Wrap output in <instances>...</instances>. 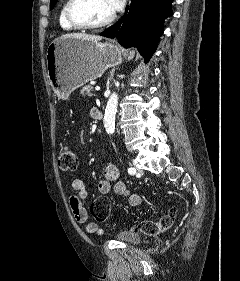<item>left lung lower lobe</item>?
Segmentation results:
<instances>
[{
    "label": "left lung lower lobe",
    "instance_id": "0a47b994",
    "mask_svg": "<svg viewBox=\"0 0 240 281\" xmlns=\"http://www.w3.org/2000/svg\"><path fill=\"white\" fill-rule=\"evenodd\" d=\"M174 0H132L121 20L101 33L117 38L125 48L136 47L149 61L163 33V21L173 14Z\"/></svg>",
    "mask_w": 240,
    "mask_h": 281
}]
</instances>
